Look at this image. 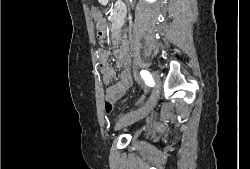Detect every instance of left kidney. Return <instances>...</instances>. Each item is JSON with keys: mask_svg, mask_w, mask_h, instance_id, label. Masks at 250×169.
Returning a JSON list of instances; mask_svg holds the SVG:
<instances>
[{"mask_svg": "<svg viewBox=\"0 0 250 169\" xmlns=\"http://www.w3.org/2000/svg\"><path fill=\"white\" fill-rule=\"evenodd\" d=\"M148 2H155V0H148Z\"/></svg>", "mask_w": 250, "mask_h": 169, "instance_id": "obj_1", "label": "left kidney"}]
</instances>
